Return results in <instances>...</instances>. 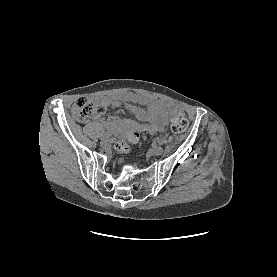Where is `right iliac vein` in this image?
<instances>
[{"instance_id":"1","label":"right iliac vein","mask_w":277,"mask_h":277,"mask_svg":"<svg viewBox=\"0 0 277 277\" xmlns=\"http://www.w3.org/2000/svg\"><path fill=\"white\" fill-rule=\"evenodd\" d=\"M112 141L111 139L109 138H105V139H102L101 142H100V145L103 147V148H107L111 145Z\"/></svg>"}]
</instances>
